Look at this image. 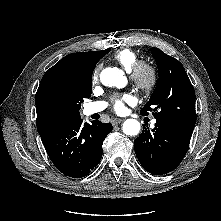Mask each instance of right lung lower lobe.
I'll list each match as a JSON object with an SVG mask.
<instances>
[{"label": "right lung lower lobe", "mask_w": 221, "mask_h": 221, "mask_svg": "<svg viewBox=\"0 0 221 221\" xmlns=\"http://www.w3.org/2000/svg\"><path fill=\"white\" fill-rule=\"evenodd\" d=\"M111 131V123L94 121L90 125L79 118L41 135V140L60 172L69 177L82 178L100 162L103 141Z\"/></svg>", "instance_id": "obj_1"}]
</instances>
